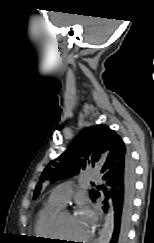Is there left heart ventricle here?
<instances>
[{"label":"left heart ventricle","instance_id":"obj_1","mask_svg":"<svg viewBox=\"0 0 154 243\" xmlns=\"http://www.w3.org/2000/svg\"><path fill=\"white\" fill-rule=\"evenodd\" d=\"M57 220L60 225L61 233L65 238L79 240L85 239L89 235L85 226L81 222L75 220L70 214H64ZM68 243H74V241H68Z\"/></svg>","mask_w":154,"mask_h":243}]
</instances>
